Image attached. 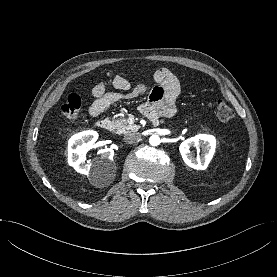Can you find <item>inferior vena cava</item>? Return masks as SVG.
<instances>
[{"mask_svg": "<svg viewBox=\"0 0 277 277\" xmlns=\"http://www.w3.org/2000/svg\"><path fill=\"white\" fill-rule=\"evenodd\" d=\"M140 134L137 132H132V133H128L124 136V141L126 143H133L136 140H138L140 138Z\"/></svg>", "mask_w": 277, "mask_h": 277, "instance_id": "inferior-vena-cava-1", "label": "inferior vena cava"}]
</instances>
